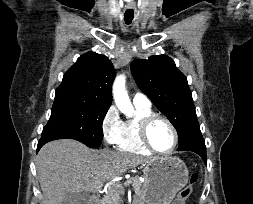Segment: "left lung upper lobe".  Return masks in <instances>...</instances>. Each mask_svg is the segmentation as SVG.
<instances>
[{"label": "left lung upper lobe", "mask_w": 253, "mask_h": 204, "mask_svg": "<svg viewBox=\"0 0 253 204\" xmlns=\"http://www.w3.org/2000/svg\"><path fill=\"white\" fill-rule=\"evenodd\" d=\"M131 71L138 87L176 128L179 145L192 125L198 123L187 78L166 55L132 61Z\"/></svg>", "instance_id": "5c2ea615"}]
</instances>
